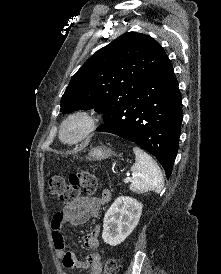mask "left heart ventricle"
Masks as SVG:
<instances>
[{"label":"left heart ventricle","mask_w":221,"mask_h":274,"mask_svg":"<svg viewBox=\"0 0 221 274\" xmlns=\"http://www.w3.org/2000/svg\"><path fill=\"white\" fill-rule=\"evenodd\" d=\"M78 130V127L77 126H72L69 128L68 132H67V135L68 136H73L75 135V133L77 132Z\"/></svg>","instance_id":"left-heart-ventricle-1"}]
</instances>
